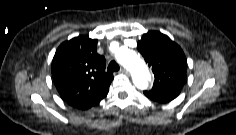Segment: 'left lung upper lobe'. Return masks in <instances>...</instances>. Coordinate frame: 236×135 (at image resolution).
Listing matches in <instances>:
<instances>
[{
  "instance_id": "1",
  "label": "left lung upper lobe",
  "mask_w": 236,
  "mask_h": 135,
  "mask_svg": "<svg viewBox=\"0 0 236 135\" xmlns=\"http://www.w3.org/2000/svg\"><path fill=\"white\" fill-rule=\"evenodd\" d=\"M137 48L155 76L150 91L182 88L186 81L187 60L175 42L160 32L149 31L142 36Z\"/></svg>"
}]
</instances>
